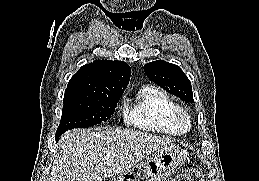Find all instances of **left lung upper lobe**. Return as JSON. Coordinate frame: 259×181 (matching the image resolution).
<instances>
[{"instance_id":"left-lung-upper-lobe-1","label":"left lung upper lobe","mask_w":259,"mask_h":181,"mask_svg":"<svg viewBox=\"0 0 259 181\" xmlns=\"http://www.w3.org/2000/svg\"><path fill=\"white\" fill-rule=\"evenodd\" d=\"M144 71L151 81L169 93L185 102H194L191 82L177 65L158 60L145 64Z\"/></svg>"}]
</instances>
